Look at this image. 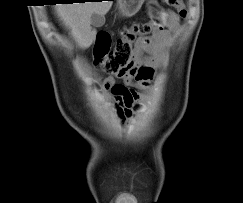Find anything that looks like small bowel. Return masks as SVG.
Wrapping results in <instances>:
<instances>
[{"label":"small bowel","mask_w":243,"mask_h":203,"mask_svg":"<svg viewBox=\"0 0 243 203\" xmlns=\"http://www.w3.org/2000/svg\"><path fill=\"white\" fill-rule=\"evenodd\" d=\"M179 29L180 23L175 13L164 12L162 23L153 35L142 37L135 43L130 67L104 79L103 86L111 92L115 110L123 121L132 119L140 109V95L130 85L135 83L141 88L152 86L154 70L162 63L171 39ZM117 79L123 80V83H117Z\"/></svg>","instance_id":"c3829d8e"}]
</instances>
